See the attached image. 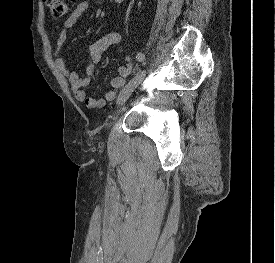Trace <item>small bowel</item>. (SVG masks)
Instances as JSON below:
<instances>
[{"instance_id": "1", "label": "small bowel", "mask_w": 275, "mask_h": 263, "mask_svg": "<svg viewBox=\"0 0 275 263\" xmlns=\"http://www.w3.org/2000/svg\"><path fill=\"white\" fill-rule=\"evenodd\" d=\"M90 8L91 4L89 1L84 0L79 2L75 6L72 14L64 22L63 28L61 29L56 40L54 63L57 69L66 78L75 99L79 102H84L88 108L94 109L102 108L107 104V102L115 99L118 90L125 84L126 77L133 71V65L127 57L126 64L119 67L118 76L114 77L110 81L111 89L106 92L103 97L95 98L87 96L84 88L90 84L96 67L101 61L102 53L111 46H116L119 49L122 42V35L119 31L110 32L93 42L88 47L86 53L88 64L86 66L85 75L82 77L79 76L77 71L81 64L80 60L75 62V69L69 70L67 68L65 60L61 55V50L66 43L68 31L80 23Z\"/></svg>"}]
</instances>
